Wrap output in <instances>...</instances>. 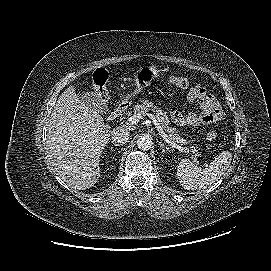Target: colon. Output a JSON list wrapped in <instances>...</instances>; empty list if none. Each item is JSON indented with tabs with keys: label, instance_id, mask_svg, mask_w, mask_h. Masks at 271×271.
Returning a JSON list of instances; mask_svg holds the SVG:
<instances>
[{
	"label": "colon",
	"instance_id": "colon-1",
	"mask_svg": "<svg viewBox=\"0 0 271 271\" xmlns=\"http://www.w3.org/2000/svg\"><path fill=\"white\" fill-rule=\"evenodd\" d=\"M169 82L172 86L186 89L189 87V80L182 76H170ZM92 87L95 96L99 101L105 102L108 99V89H107V74L104 70H98L92 76ZM209 140L216 138V132L210 131L207 134Z\"/></svg>",
	"mask_w": 271,
	"mask_h": 271
}]
</instances>
